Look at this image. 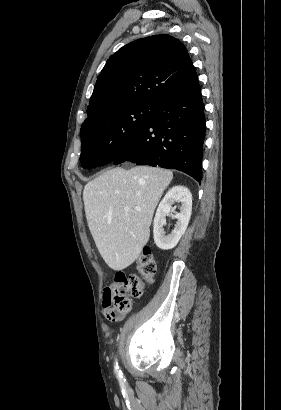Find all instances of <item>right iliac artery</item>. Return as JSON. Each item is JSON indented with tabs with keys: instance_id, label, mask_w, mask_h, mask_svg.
<instances>
[{
	"instance_id": "82829eb1",
	"label": "right iliac artery",
	"mask_w": 281,
	"mask_h": 410,
	"mask_svg": "<svg viewBox=\"0 0 281 410\" xmlns=\"http://www.w3.org/2000/svg\"><path fill=\"white\" fill-rule=\"evenodd\" d=\"M115 371H116V373H117V377H118V379L120 380V381H123V375H122V372H121V370L119 369V366H118V362L117 361H115Z\"/></svg>"
}]
</instances>
